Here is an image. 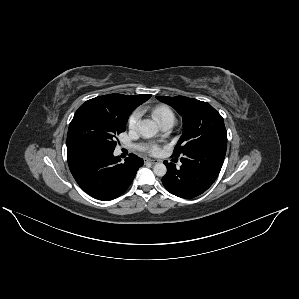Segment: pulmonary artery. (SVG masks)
<instances>
[{
	"label": "pulmonary artery",
	"mask_w": 299,
	"mask_h": 299,
	"mask_svg": "<svg viewBox=\"0 0 299 299\" xmlns=\"http://www.w3.org/2000/svg\"><path fill=\"white\" fill-rule=\"evenodd\" d=\"M172 127H173V123H171V122L162 124V129L165 132H169L172 129Z\"/></svg>",
	"instance_id": "pulmonary-artery-1"
}]
</instances>
